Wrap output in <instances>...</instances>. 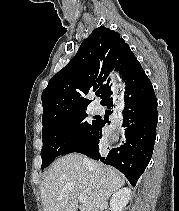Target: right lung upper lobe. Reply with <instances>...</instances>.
I'll return each instance as SVG.
<instances>
[{
    "instance_id": "obj_1",
    "label": "right lung upper lobe",
    "mask_w": 179,
    "mask_h": 211,
    "mask_svg": "<svg viewBox=\"0 0 179 211\" xmlns=\"http://www.w3.org/2000/svg\"><path fill=\"white\" fill-rule=\"evenodd\" d=\"M112 70L119 71L127 85L143 69L119 33L99 27L82 42L77 54L44 89L43 126L53 118L86 110L91 100L85 95L96 89L101 92L104 105L112 94L109 86Z\"/></svg>"
}]
</instances>
